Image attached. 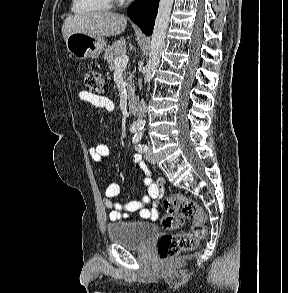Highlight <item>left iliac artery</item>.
Wrapping results in <instances>:
<instances>
[{
    "instance_id": "1",
    "label": "left iliac artery",
    "mask_w": 288,
    "mask_h": 293,
    "mask_svg": "<svg viewBox=\"0 0 288 293\" xmlns=\"http://www.w3.org/2000/svg\"><path fill=\"white\" fill-rule=\"evenodd\" d=\"M141 139H142V132L136 133L133 137V144L135 145V149L138 152L142 153L147 151V146L140 143Z\"/></svg>"
}]
</instances>
